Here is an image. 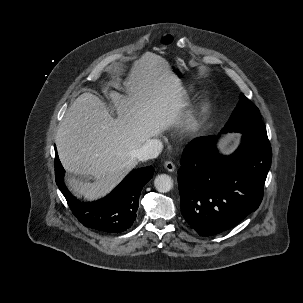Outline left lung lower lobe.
<instances>
[{"instance_id":"0a47b994","label":"left lung lower lobe","mask_w":303,"mask_h":303,"mask_svg":"<svg viewBox=\"0 0 303 303\" xmlns=\"http://www.w3.org/2000/svg\"><path fill=\"white\" fill-rule=\"evenodd\" d=\"M217 139L203 136L189 143L178 171L182 215L202 236L233 228L259 207L271 166L269 142L243 134L239 148L223 156Z\"/></svg>"}]
</instances>
